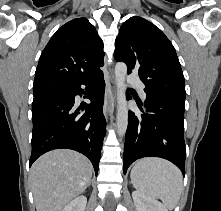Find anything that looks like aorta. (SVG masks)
<instances>
[{
    "mask_svg": "<svg viewBox=\"0 0 221 211\" xmlns=\"http://www.w3.org/2000/svg\"><path fill=\"white\" fill-rule=\"evenodd\" d=\"M127 66L119 62L115 66V80L117 86V133L124 136L128 126V108L126 101V84Z\"/></svg>",
    "mask_w": 221,
    "mask_h": 211,
    "instance_id": "762f6f07",
    "label": "aorta"
}]
</instances>
